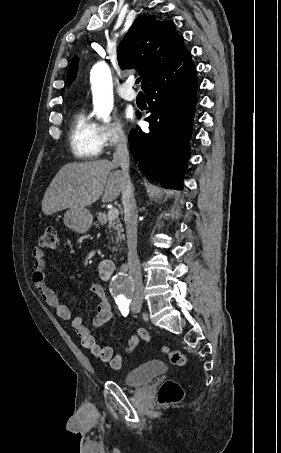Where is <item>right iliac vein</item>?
<instances>
[{"label":"right iliac vein","mask_w":281,"mask_h":453,"mask_svg":"<svg viewBox=\"0 0 281 453\" xmlns=\"http://www.w3.org/2000/svg\"><path fill=\"white\" fill-rule=\"evenodd\" d=\"M135 304H136L137 306H140V305L142 304V301H135Z\"/></svg>","instance_id":"63e3f726"}]
</instances>
